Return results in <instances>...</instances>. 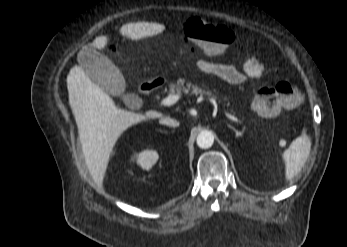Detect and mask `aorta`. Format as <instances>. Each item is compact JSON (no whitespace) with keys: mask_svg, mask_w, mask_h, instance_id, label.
<instances>
[{"mask_svg":"<svg viewBox=\"0 0 347 247\" xmlns=\"http://www.w3.org/2000/svg\"><path fill=\"white\" fill-rule=\"evenodd\" d=\"M214 143V136L210 131H202L197 136V145L202 149L210 148Z\"/></svg>","mask_w":347,"mask_h":247,"instance_id":"762f6f07","label":"aorta"}]
</instances>
